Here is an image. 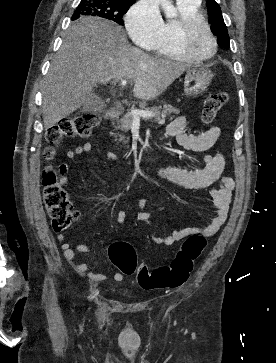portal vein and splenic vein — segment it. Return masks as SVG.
<instances>
[{
  "mask_svg": "<svg viewBox=\"0 0 276 363\" xmlns=\"http://www.w3.org/2000/svg\"><path fill=\"white\" fill-rule=\"evenodd\" d=\"M126 85H127V81L121 80V86L124 87ZM131 112H132L135 120H139L140 117L149 118V117L153 116V114L151 112L144 111V110L132 109Z\"/></svg>",
  "mask_w": 276,
  "mask_h": 363,
  "instance_id": "obj_1",
  "label": "portal vein and splenic vein"
}]
</instances>
